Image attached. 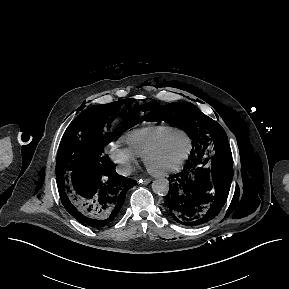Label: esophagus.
<instances>
[{
    "label": "esophagus",
    "instance_id": "34e87169",
    "mask_svg": "<svg viewBox=\"0 0 289 289\" xmlns=\"http://www.w3.org/2000/svg\"><path fill=\"white\" fill-rule=\"evenodd\" d=\"M139 182L142 183V184L147 185V184H149L151 182V179L143 178V179H140Z\"/></svg>",
    "mask_w": 289,
    "mask_h": 289
}]
</instances>
